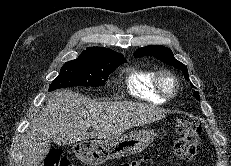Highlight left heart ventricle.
Returning a JSON list of instances; mask_svg holds the SVG:
<instances>
[{"mask_svg":"<svg viewBox=\"0 0 231 166\" xmlns=\"http://www.w3.org/2000/svg\"><path fill=\"white\" fill-rule=\"evenodd\" d=\"M164 86H165V88H166L167 90H171L172 87H173V83H172V81H171L170 79L165 78V79H164Z\"/></svg>","mask_w":231,"mask_h":166,"instance_id":"obj_1","label":"left heart ventricle"}]
</instances>
